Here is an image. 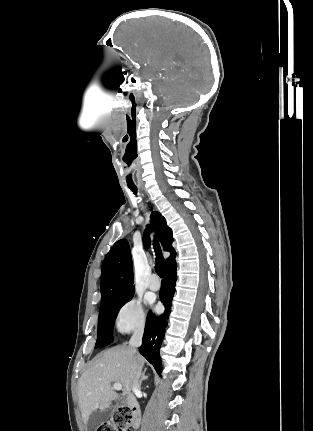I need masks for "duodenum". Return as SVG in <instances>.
Here are the masks:
<instances>
[{
    "label": "duodenum",
    "mask_w": 313,
    "mask_h": 431,
    "mask_svg": "<svg viewBox=\"0 0 313 431\" xmlns=\"http://www.w3.org/2000/svg\"><path fill=\"white\" fill-rule=\"evenodd\" d=\"M127 406L131 409L133 415L134 426L138 427L140 422L139 405L133 396H128L126 399Z\"/></svg>",
    "instance_id": "obj_1"
}]
</instances>
